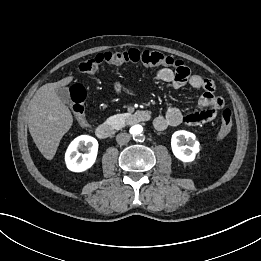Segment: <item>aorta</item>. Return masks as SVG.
Instances as JSON below:
<instances>
[{"instance_id": "obj_1", "label": "aorta", "mask_w": 261, "mask_h": 261, "mask_svg": "<svg viewBox=\"0 0 261 261\" xmlns=\"http://www.w3.org/2000/svg\"><path fill=\"white\" fill-rule=\"evenodd\" d=\"M131 134L135 138H141L143 136V127L139 124L134 125L130 129Z\"/></svg>"}]
</instances>
